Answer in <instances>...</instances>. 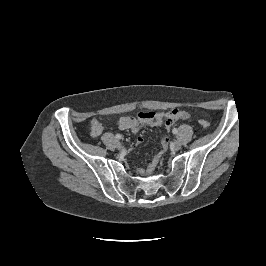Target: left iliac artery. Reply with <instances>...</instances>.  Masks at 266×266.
Here are the masks:
<instances>
[{
  "label": "left iliac artery",
  "mask_w": 266,
  "mask_h": 266,
  "mask_svg": "<svg viewBox=\"0 0 266 266\" xmlns=\"http://www.w3.org/2000/svg\"><path fill=\"white\" fill-rule=\"evenodd\" d=\"M172 132H173V134H177V133H178V130H177L176 128H174V129L172 130Z\"/></svg>",
  "instance_id": "1"
}]
</instances>
